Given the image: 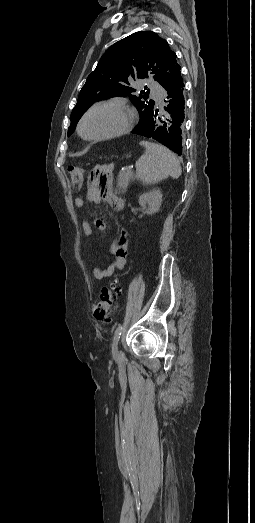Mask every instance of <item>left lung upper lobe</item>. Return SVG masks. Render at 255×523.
I'll list each match as a JSON object with an SVG mask.
<instances>
[{
  "label": "left lung upper lobe",
  "instance_id": "left-lung-upper-lobe-1",
  "mask_svg": "<svg viewBox=\"0 0 255 523\" xmlns=\"http://www.w3.org/2000/svg\"><path fill=\"white\" fill-rule=\"evenodd\" d=\"M176 58L167 41L152 31L133 33L112 45L103 54L80 91L77 104L71 113L68 136L74 132L77 122L93 103L114 96L129 97L139 111L137 121L140 126L142 121L150 118L151 110L155 112L157 109L153 100L146 101L149 90L141 91L137 95L136 90L130 87L131 82L139 78L153 77L165 90L170 85H177L176 77H181V67ZM169 98L168 95L167 99ZM166 112L169 114V111Z\"/></svg>",
  "mask_w": 255,
  "mask_h": 523
}]
</instances>
